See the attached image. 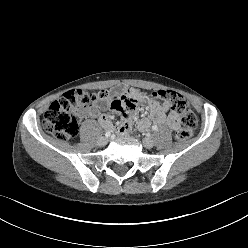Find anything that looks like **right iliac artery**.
Segmentation results:
<instances>
[{
    "label": "right iliac artery",
    "mask_w": 248,
    "mask_h": 248,
    "mask_svg": "<svg viewBox=\"0 0 248 248\" xmlns=\"http://www.w3.org/2000/svg\"><path fill=\"white\" fill-rule=\"evenodd\" d=\"M111 134H110V132L109 131H107L106 133H105V136L106 137H109Z\"/></svg>",
    "instance_id": "82829eb1"
}]
</instances>
